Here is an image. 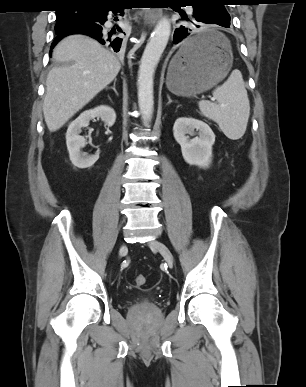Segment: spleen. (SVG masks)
Returning a JSON list of instances; mask_svg holds the SVG:
<instances>
[{"label": "spleen", "mask_w": 306, "mask_h": 387, "mask_svg": "<svg viewBox=\"0 0 306 387\" xmlns=\"http://www.w3.org/2000/svg\"><path fill=\"white\" fill-rule=\"evenodd\" d=\"M213 96L216 103L199 101L201 113L215 121L229 139L241 138L250 115L249 99L241 72L233 70L228 79L213 91Z\"/></svg>", "instance_id": "1"}]
</instances>
